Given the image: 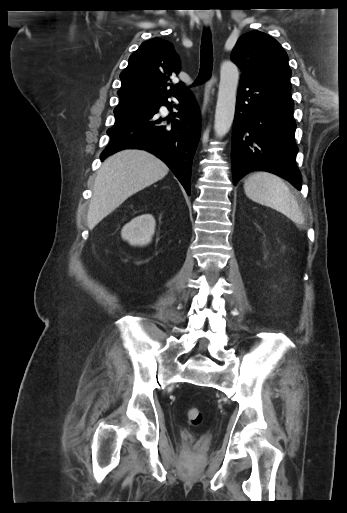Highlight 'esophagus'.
<instances>
[{
  "mask_svg": "<svg viewBox=\"0 0 347 513\" xmlns=\"http://www.w3.org/2000/svg\"><path fill=\"white\" fill-rule=\"evenodd\" d=\"M204 24L207 28H212V21L211 20H205ZM217 75L215 73L212 74L209 80L205 83V89H204V101H203V109L206 110L209 106V103L211 102V91L213 89V86L217 84Z\"/></svg>",
  "mask_w": 347,
  "mask_h": 513,
  "instance_id": "34e87169",
  "label": "esophagus"
}]
</instances>
